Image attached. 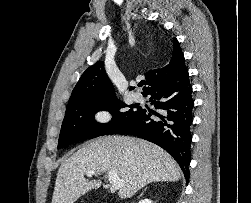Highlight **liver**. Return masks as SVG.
<instances>
[{
  "mask_svg": "<svg viewBox=\"0 0 251 203\" xmlns=\"http://www.w3.org/2000/svg\"><path fill=\"white\" fill-rule=\"evenodd\" d=\"M88 171L115 172L123 181L118 195L130 198L152 182H175L181 178L175 160L155 144L128 136H105L77 150L59 168L52 203H74L88 191L101 186L87 180Z\"/></svg>",
  "mask_w": 251,
  "mask_h": 203,
  "instance_id": "obj_1",
  "label": "liver"
}]
</instances>
